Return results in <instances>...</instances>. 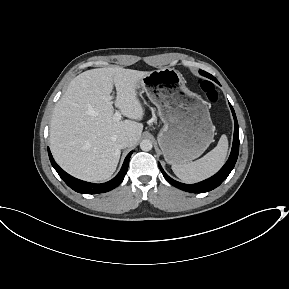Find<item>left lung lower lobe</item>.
I'll return each instance as SVG.
<instances>
[{
  "instance_id": "1",
  "label": "left lung lower lobe",
  "mask_w": 289,
  "mask_h": 289,
  "mask_svg": "<svg viewBox=\"0 0 289 289\" xmlns=\"http://www.w3.org/2000/svg\"><path fill=\"white\" fill-rule=\"evenodd\" d=\"M230 108L234 117V121H235V129H234V139H233V145H232V150H231V154L230 157L228 159V161L226 162V164L221 168V170L215 174L214 176H212L209 179H206L202 182L196 183V184H183L180 182L175 181L174 179L170 178L162 169L161 165L159 164L160 170L163 174V176L165 177V179L172 184L173 186L187 191V192H191V193H204V192H208L211 191L213 189H215L216 187H218L230 174V172L232 171V169L235 166V163L237 161L238 158V153H239V128H238V122H237V118L234 112L233 107L230 104Z\"/></svg>"
}]
</instances>
